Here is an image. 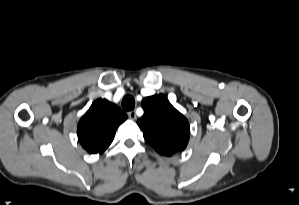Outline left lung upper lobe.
Wrapping results in <instances>:
<instances>
[{
  "label": "left lung upper lobe",
  "instance_id": "1",
  "mask_svg": "<svg viewBox=\"0 0 299 205\" xmlns=\"http://www.w3.org/2000/svg\"><path fill=\"white\" fill-rule=\"evenodd\" d=\"M144 115L137 124L144 138L159 154L171 156L186 148L189 123L163 95L146 97L142 101Z\"/></svg>",
  "mask_w": 299,
  "mask_h": 205
}]
</instances>
